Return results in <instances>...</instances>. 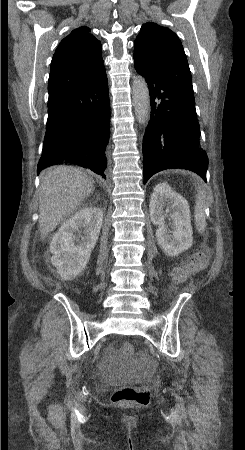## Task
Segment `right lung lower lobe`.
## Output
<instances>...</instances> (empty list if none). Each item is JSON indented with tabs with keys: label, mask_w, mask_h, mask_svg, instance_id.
Segmentation results:
<instances>
[{
	"label": "right lung lower lobe",
	"mask_w": 245,
	"mask_h": 450,
	"mask_svg": "<svg viewBox=\"0 0 245 450\" xmlns=\"http://www.w3.org/2000/svg\"><path fill=\"white\" fill-rule=\"evenodd\" d=\"M110 102L105 68L48 105L43 153L37 173L55 164L78 165L106 178Z\"/></svg>",
	"instance_id": "1"
}]
</instances>
